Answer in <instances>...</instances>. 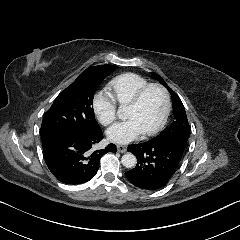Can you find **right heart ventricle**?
I'll return each mask as SVG.
<instances>
[{
	"label": "right heart ventricle",
	"mask_w": 240,
	"mask_h": 240,
	"mask_svg": "<svg viewBox=\"0 0 240 240\" xmlns=\"http://www.w3.org/2000/svg\"><path fill=\"white\" fill-rule=\"evenodd\" d=\"M149 81L136 73H124L111 79L106 85L107 96L118 107L131 102L136 92Z\"/></svg>",
	"instance_id": "1"
}]
</instances>
